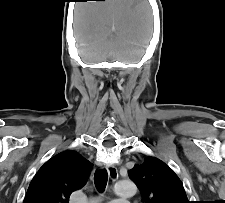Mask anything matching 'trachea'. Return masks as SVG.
Returning <instances> with one entry per match:
<instances>
[{"instance_id": "1", "label": "trachea", "mask_w": 225, "mask_h": 203, "mask_svg": "<svg viewBox=\"0 0 225 203\" xmlns=\"http://www.w3.org/2000/svg\"><path fill=\"white\" fill-rule=\"evenodd\" d=\"M108 173L106 169L97 170L94 174V183L99 192H103L107 185Z\"/></svg>"}]
</instances>
